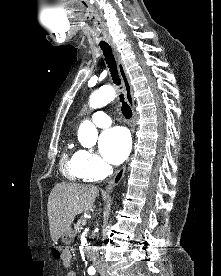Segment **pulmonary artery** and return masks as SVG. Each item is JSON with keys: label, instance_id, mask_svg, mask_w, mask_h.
I'll return each instance as SVG.
<instances>
[{"label": "pulmonary artery", "instance_id": "1", "mask_svg": "<svg viewBox=\"0 0 221 276\" xmlns=\"http://www.w3.org/2000/svg\"><path fill=\"white\" fill-rule=\"evenodd\" d=\"M93 123L100 127L105 128L111 125L110 117L103 111H97L92 115Z\"/></svg>", "mask_w": 221, "mask_h": 276}]
</instances>
